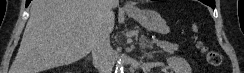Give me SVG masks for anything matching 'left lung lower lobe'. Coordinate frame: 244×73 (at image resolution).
Segmentation results:
<instances>
[{"label":"left lung lower lobe","mask_w":244,"mask_h":73,"mask_svg":"<svg viewBox=\"0 0 244 73\" xmlns=\"http://www.w3.org/2000/svg\"><path fill=\"white\" fill-rule=\"evenodd\" d=\"M202 2L209 5L211 8H215V0H202Z\"/></svg>","instance_id":"left-lung-lower-lobe-1"}]
</instances>
